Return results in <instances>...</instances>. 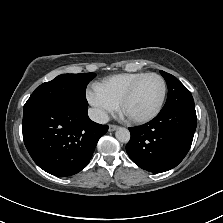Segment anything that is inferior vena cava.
Instances as JSON below:
<instances>
[{
	"mask_svg": "<svg viewBox=\"0 0 223 223\" xmlns=\"http://www.w3.org/2000/svg\"><path fill=\"white\" fill-rule=\"evenodd\" d=\"M90 119L99 124H105L109 121V116L102 110L96 108H90L88 110Z\"/></svg>",
	"mask_w": 223,
	"mask_h": 223,
	"instance_id": "1",
	"label": "inferior vena cava"
}]
</instances>
